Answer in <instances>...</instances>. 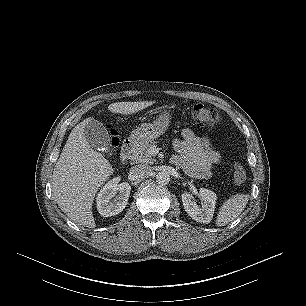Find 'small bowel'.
<instances>
[{
  "label": "small bowel",
  "instance_id": "obj_1",
  "mask_svg": "<svg viewBox=\"0 0 306 306\" xmlns=\"http://www.w3.org/2000/svg\"><path fill=\"white\" fill-rule=\"evenodd\" d=\"M174 147L180 155L173 162L195 178H209L214 166L221 161L210 137L206 134L198 137L189 128L183 130L181 139L174 141Z\"/></svg>",
  "mask_w": 306,
  "mask_h": 306
}]
</instances>
